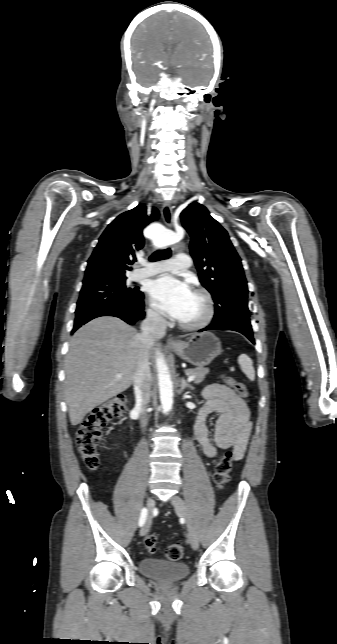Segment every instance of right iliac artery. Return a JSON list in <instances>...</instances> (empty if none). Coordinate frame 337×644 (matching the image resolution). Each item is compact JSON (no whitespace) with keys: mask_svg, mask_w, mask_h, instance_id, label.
Segmentation results:
<instances>
[{"mask_svg":"<svg viewBox=\"0 0 337 644\" xmlns=\"http://www.w3.org/2000/svg\"><path fill=\"white\" fill-rule=\"evenodd\" d=\"M148 511L146 508H143L141 510L140 518H139V526H143L145 524L146 518H147Z\"/></svg>","mask_w":337,"mask_h":644,"instance_id":"right-iliac-artery-1","label":"right iliac artery"}]
</instances>
